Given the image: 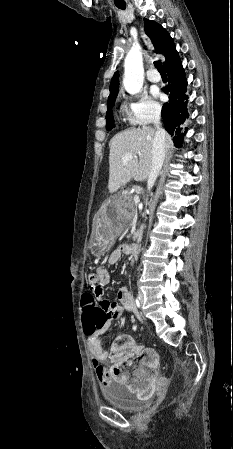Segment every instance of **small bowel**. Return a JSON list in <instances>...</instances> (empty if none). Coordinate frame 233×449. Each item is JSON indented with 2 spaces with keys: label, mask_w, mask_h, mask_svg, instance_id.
Segmentation results:
<instances>
[{
  "label": "small bowel",
  "mask_w": 233,
  "mask_h": 449,
  "mask_svg": "<svg viewBox=\"0 0 233 449\" xmlns=\"http://www.w3.org/2000/svg\"><path fill=\"white\" fill-rule=\"evenodd\" d=\"M123 253L120 249L113 251L108 258V263H116ZM89 277L92 280V286L88 287L87 292L94 295V301L98 307L105 308V313L108 315L105 317L103 328H83L87 336L96 377L103 386H107L111 380L126 382V367L132 365L133 358L139 357L140 361L134 369V375H129L128 382L130 389L134 390V399H149V390H155V377L162 375L158 355L153 349L141 346L133 339H125L116 353L111 355V368L108 370L104 366L108 360V351L103 345L101 337L109 329L111 322L120 317L124 310L133 308L131 292L127 287H122L118 292V302L104 299L106 293L101 286H106L111 281V273L105 266L91 270Z\"/></svg>",
  "instance_id": "small-bowel-1"
}]
</instances>
